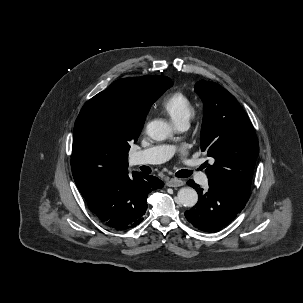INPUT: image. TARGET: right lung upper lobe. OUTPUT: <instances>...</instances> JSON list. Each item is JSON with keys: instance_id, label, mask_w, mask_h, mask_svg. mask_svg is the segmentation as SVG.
<instances>
[{"instance_id": "cb5924a9", "label": "right lung upper lobe", "mask_w": 303, "mask_h": 303, "mask_svg": "<svg viewBox=\"0 0 303 303\" xmlns=\"http://www.w3.org/2000/svg\"><path fill=\"white\" fill-rule=\"evenodd\" d=\"M172 86L166 76L124 78L112 83L82 107L74 126L73 171L86 176L84 198L128 173V151L120 138L137 140L151 105Z\"/></svg>"}]
</instances>
